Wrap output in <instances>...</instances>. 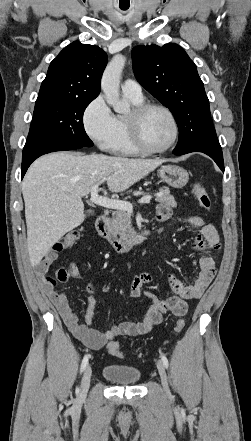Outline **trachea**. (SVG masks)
Listing matches in <instances>:
<instances>
[{
	"mask_svg": "<svg viewBox=\"0 0 251 441\" xmlns=\"http://www.w3.org/2000/svg\"><path fill=\"white\" fill-rule=\"evenodd\" d=\"M122 10H127L128 8H121Z\"/></svg>",
	"mask_w": 251,
	"mask_h": 441,
	"instance_id": "1",
	"label": "trachea"
}]
</instances>
